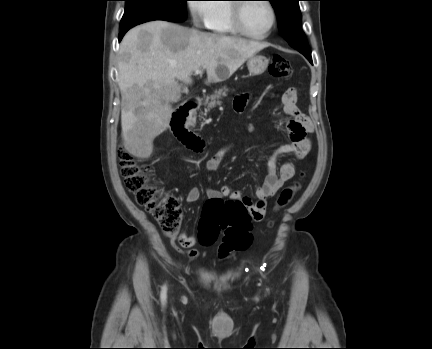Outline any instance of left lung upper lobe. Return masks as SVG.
I'll return each mask as SVG.
<instances>
[{
  "label": "left lung upper lobe",
  "instance_id": "1",
  "mask_svg": "<svg viewBox=\"0 0 432 349\" xmlns=\"http://www.w3.org/2000/svg\"><path fill=\"white\" fill-rule=\"evenodd\" d=\"M277 17L281 36L297 50L310 51L306 37L301 29L299 0H268Z\"/></svg>",
  "mask_w": 432,
  "mask_h": 349
}]
</instances>
